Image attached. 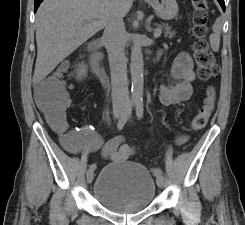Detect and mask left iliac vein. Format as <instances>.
Here are the masks:
<instances>
[{
	"mask_svg": "<svg viewBox=\"0 0 245 225\" xmlns=\"http://www.w3.org/2000/svg\"><path fill=\"white\" fill-rule=\"evenodd\" d=\"M156 181H157V185H158L159 187H163V186H164L165 179H164L163 176H160L159 178H157Z\"/></svg>",
	"mask_w": 245,
	"mask_h": 225,
	"instance_id": "1",
	"label": "left iliac vein"
}]
</instances>
